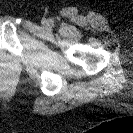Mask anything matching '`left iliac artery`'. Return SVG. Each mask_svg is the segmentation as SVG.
<instances>
[{
	"mask_svg": "<svg viewBox=\"0 0 133 133\" xmlns=\"http://www.w3.org/2000/svg\"><path fill=\"white\" fill-rule=\"evenodd\" d=\"M50 24H52V25H53V20H52V19H50Z\"/></svg>",
	"mask_w": 133,
	"mask_h": 133,
	"instance_id": "obj_1",
	"label": "left iliac artery"
}]
</instances>
